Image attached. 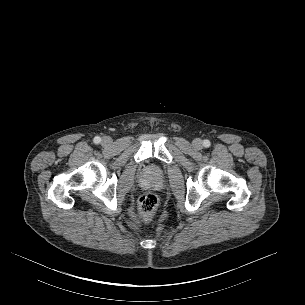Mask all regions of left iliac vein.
<instances>
[{
	"mask_svg": "<svg viewBox=\"0 0 305 305\" xmlns=\"http://www.w3.org/2000/svg\"><path fill=\"white\" fill-rule=\"evenodd\" d=\"M193 146L196 148V149H200V148H202V141H201V139H195L194 141H193Z\"/></svg>",
	"mask_w": 305,
	"mask_h": 305,
	"instance_id": "left-iliac-vein-1",
	"label": "left iliac vein"
}]
</instances>
